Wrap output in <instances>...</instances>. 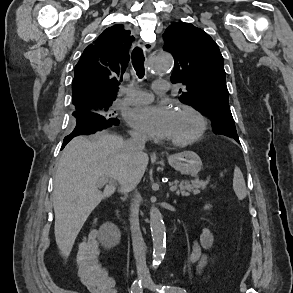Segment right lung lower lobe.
Instances as JSON below:
<instances>
[{"label":"right lung lower lobe","instance_id":"obj_1","mask_svg":"<svg viewBox=\"0 0 293 293\" xmlns=\"http://www.w3.org/2000/svg\"><path fill=\"white\" fill-rule=\"evenodd\" d=\"M74 116V130L64 138L62 148L75 136L88 135L98 130L106 129L113 125H118L119 121L115 118H107L101 114L89 111H75Z\"/></svg>","mask_w":293,"mask_h":293}]
</instances>
